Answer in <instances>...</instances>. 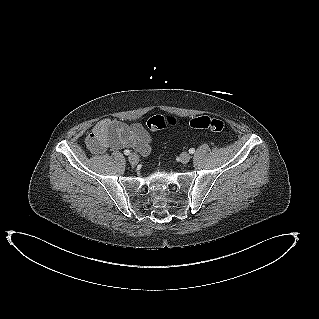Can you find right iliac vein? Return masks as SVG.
<instances>
[{
  "instance_id": "obj_1",
  "label": "right iliac vein",
  "mask_w": 319,
  "mask_h": 319,
  "mask_svg": "<svg viewBox=\"0 0 319 319\" xmlns=\"http://www.w3.org/2000/svg\"><path fill=\"white\" fill-rule=\"evenodd\" d=\"M128 159L132 164H137L139 161V156L136 153H131Z\"/></svg>"
}]
</instances>
